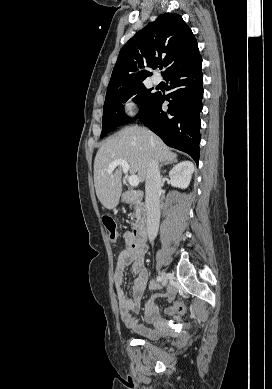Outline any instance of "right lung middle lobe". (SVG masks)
Masks as SVG:
<instances>
[{"instance_id": "right-lung-middle-lobe-1", "label": "right lung middle lobe", "mask_w": 272, "mask_h": 389, "mask_svg": "<svg viewBox=\"0 0 272 389\" xmlns=\"http://www.w3.org/2000/svg\"><path fill=\"white\" fill-rule=\"evenodd\" d=\"M152 89H146L143 83L122 88L106 93L101 138L113 131L120 125L132 121L124 113V103L133 98V101L139 105L140 113L144 112L158 97L159 92L153 93ZM137 116V117H138Z\"/></svg>"}]
</instances>
